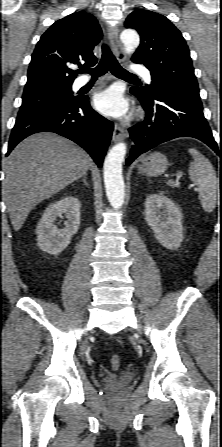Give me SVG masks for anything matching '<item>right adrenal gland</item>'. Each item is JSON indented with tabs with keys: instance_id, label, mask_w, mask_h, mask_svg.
Segmentation results:
<instances>
[{
	"instance_id": "right-adrenal-gland-1",
	"label": "right adrenal gland",
	"mask_w": 222,
	"mask_h": 447,
	"mask_svg": "<svg viewBox=\"0 0 222 447\" xmlns=\"http://www.w3.org/2000/svg\"><path fill=\"white\" fill-rule=\"evenodd\" d=\"M80 181H82L86 186L89 185L88 182H87V175L86 174L83 176V178Z\"/></svg>"
}]
</instances>
